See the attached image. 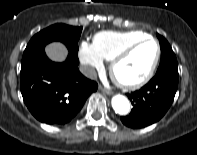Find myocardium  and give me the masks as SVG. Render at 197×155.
I'll list each match as a JSON object with an SVG mask.
<instances>
[{
	"label": "myocardium",
	"instance_id": "myocardium-1",
	"mask_svg": "<svg viewBox=\"0 0 197 155\" xmlns=\"http://www.w3.org/2000/svg\"><path fill=\"white\" fill-rule=\"evenodd\" d=\"M146 42H153L156 45V54L154 57V60L150 66V68L148 69L147 73L139 80L134 81V82H126L121 80L116 73V69L117 66L123 61L125 60L136 48H138L140 45L146 43ZM160 56H161V47L159 42L150 36H147L145 38H142L134 43H131L129 45H127L126 47H124L112 60H111V64H110V75L112 80L122 89L125 90H136L139 89L141 87H143L145 84H147L151 78L153 77L159 60H160Z\"/></svg>",
	"mask_w": 197,
	"mask_h": 155
}]
</instances>
